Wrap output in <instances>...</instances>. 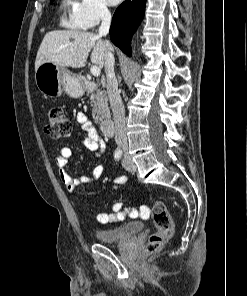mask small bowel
Masks as SVG:
<instances>
[{
    "label": "small bowel",
    "instance_id": "c3829d8e",
    "mask_svg": "<svg viewBox=\"0 0 247 296\" xmlns=\"http://www.w3.org/2000/svg\"><path fill=\"white\" fill-rule=\"evenodd\" d=\"M76 119L82 129L86 132V137L83 142L84 146L98 156L100 152V144L96 128L84 113H78ZM70 157L71 150L68 147L62 148L60 153L55 157V164L59 170L60 178L68 192L72 193L77 187L89 185L102 176L104 166L101 164L96 165L90 175H80L77 177L71 176L65 169ZM126 181L127 178L125 176L115 178L112 181L111 190L115 191L121 189ZM144 208L145 207L141 209V213L144 211ZM128 216L136 217L138 216V212L135 209L123 207V204L117 201L113 203L111 213H98L96 215V221L102 225L121 223L125 221Z\"/></svg>",
    "mask_w": 247,
    "mask_h": 296
}]
</instances>
